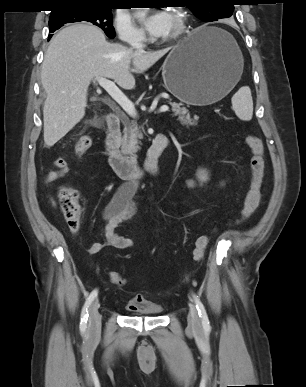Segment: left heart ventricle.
<instances>
[{
    "label": "left heart ventricle",
    "mask_w": 306,
    "mask_h": 387,
    "mask_svg": "<svg viewBox=\"0 0 306 387\" xmlns=\"http://www.w3.org/2000/svg\"><path fill=\"white\" fill-rule=\"evenodd\" d=\"M175 27H176V19L171 15V31H170V34L175 30Z\"/></svg>",
    "instance_id": "b2bd125f"
}]
</instances>
